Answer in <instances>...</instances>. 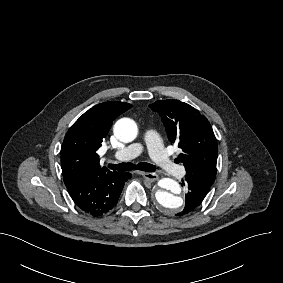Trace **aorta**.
Returning a JSON list of instances; mask_svg holds the SVG:
<instances>
[{
  "instance_id": "aorta-1",
  "label": "aorta",
  "mask_w": 283,
  "mask_h": 283,
  "mask_svg": "<svg viewBox=\"0 0 283 283\" xmlns=\"http://www.w3.org/2000/svg\"><path fill=\"white\" fill-rule=\"evenodd\" d=\"M137 134V124L130 118H121L114 125V135L122 142L133 141ZM158 185L160 189L156 191L155 197L163 211L169 214L179 212L183 206L180 185L170 178L159 180Z\"/></svg>"
}]
</instances>
